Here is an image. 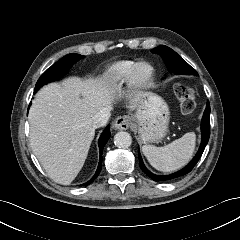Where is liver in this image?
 I'll use <instances>...</instances> for the list:
<instances>
[{"instance_id": "1", "label": "liver", "mask_w": 240, "mask_h": 240, "mask_svg": "<svg viewBox=\"0 0 240 240\" xmlns=\"http://www.w3.org/2000/svg\"><path fill=\"white\" fill-rule=\"evenodd\" d=\"M121 89L107 79L69 77L44 86L29 111L31 147L47 175L69 185L82 169L95 135L92 119L102 108L111 110ZM140 95L128 106L138 107Z\"/></svg>"}]
</instances>
